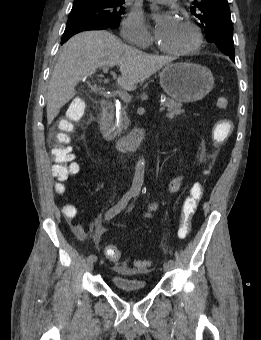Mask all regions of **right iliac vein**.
<instances>
[{"label": "right iliac vein", "mask_w": 261, "mask_h": 340, "mask_svg": "<svg viewBox=\"0 0 261 340\" xmlns=\"http://www.w3.org/2000/svg\"><path fill=\"white\" fill-rule=\"evenodd\" d=\"M93 268H94L93 262L87 260V262H86L87 271L91 272L93 270Z\"/></svg>", "instance_id": "right-iliac-vein-1"}]
</instances>
